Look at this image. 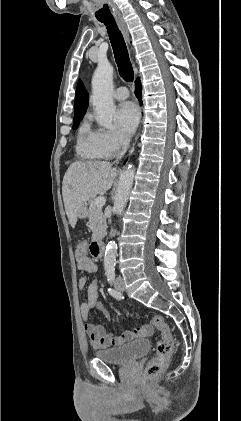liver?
Returning a JSON list of instances; mask_svg holds the SVG:
<instances>
[{"mask_svg": "<svg viewBox=\"0 0 241 421\" xmlns=\"http://www.w3.org/2000/svg\"><path fill=\"white\" fill-rule=\"evenodd\" d=\"M116 175V168L106 161H77L68 167L63 178L62 195L72 228L76 226L79 208L89 199L107 192Z\"/></svg>", "mask_w": 241, "mask_h": 421, "instance_id": "liver-1", "label": "liver"}]
</instances>
